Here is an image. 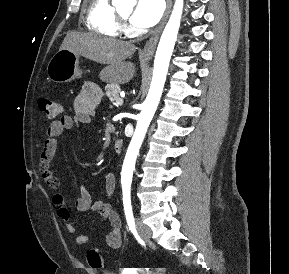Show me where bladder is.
Masks as SVG:
<instances>
[{"mask_svg": "<svg viewBox=\"0 0 289 274\" xmlns=\"http://www.w3.org/2000/svg\"><path fill=\"white\" fill-rule=\"evenodd\" d=\"M125 274H134V273H125Z\"/></svg>", "mask_w": 289, "mask_h": 274, "instance_id": "obj_1", "label": "bladder"}]
</instances>
